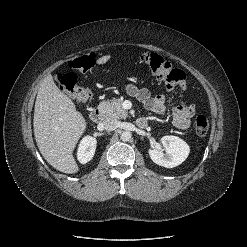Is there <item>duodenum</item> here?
<instances>
[{
  "label": "duodenum",
  "instance_id": "obj_1",
  "mask_svg": "<svg viewBox=\"0 0 247 247\" xmlns=\"http://www.w3.org/2000/svg\"><path fill=\"white\" fill-rule=\"evenodd\" d=\"M103 117H104V111L101 107L94 108L90 114V119L94 123L101 122L103 120ZM137 125L140 128H145L147 126V121L144 118H139L137 120Z\"/></svg>",
  "mask_w": 247,
  "mask_h": 247
}]
</instances>
